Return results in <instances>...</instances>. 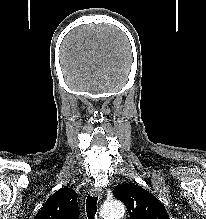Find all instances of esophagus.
<instances>
[{
    "label": "esophagus",
    "instance_id": "34e87169",
    "mask_svg": "<svg viewBox=\"0 0 206 219\" xmlns=\"http://www.w3.org/2000/svg\"><path fill=\"white\" fill-rule=\"evenodd\" d=\"M90 193L93 196H102L103 190L99 186H92L91 189H90Z\"/></svg>",
    "mask_w": 206,
    "mask_h": 219
}]
</instances>
